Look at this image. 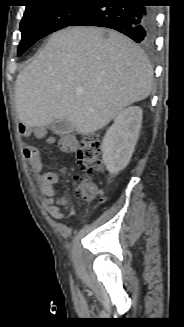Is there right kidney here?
I'll list each match as a JSON object with an SVG mask.
<instances>
[{"instance_id": "obj_1", "label": "right kidney", "mask_w": 184, "mask_h": 327, "mask_svg": "<svg viewBox=\"0 0 184 327\" xmlns=\"http://www.w3.org/2000/svg\"><path fill=\"white\" fill-rule=\"evenodd\" d=\"M142 109L131 106L121 110L107 130L102 143V159L110 173L123 170L129 163L139 138Z\"/></svg>"}]
</instances>
